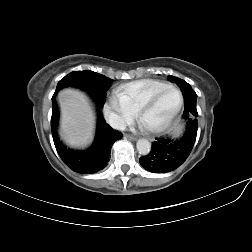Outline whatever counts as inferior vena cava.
<instances>
[{
  "instance_id": "obj_1",
  "label": "inferior vena cava",
  "mask_w": 252,
  "mask_h": 252,
  "mask_svg": "<svg viewBox=\"0 0 252 252\" xmlns=\"http://www.w3.org/2000/svg\"><path fill=\"white\" fill-rule=\"evenodd\" d=\"M105 118L107 123L116 129H120V130H125L126 128V123L124 122V120L118 116L117 114L110 112L109 110H107L105 112Z\"/></svg>"
}]
</instances>
